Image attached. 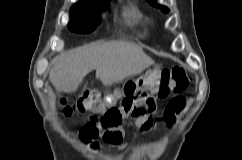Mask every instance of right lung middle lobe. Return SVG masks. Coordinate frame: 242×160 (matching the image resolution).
Instances as JSON below:
<instances>
[{"instance_id": "dd1d6c3e", "label": "right lung middle lobe", "mask_w": 242, "mask_h": 160, "mask_svg": "<svg viewBox=\"0 0 242 160\" xmlns=\"http://www.w3.org/2000/svg\"><path fill=\"white\" fill-rule=\"evenodd\" d=\"M103 10L98 2L88 5L73 6L71 8V18L69 29L74 32H91L98 24V14Z\"/></svg>"}]
</instances>
